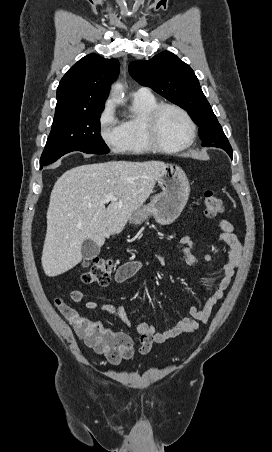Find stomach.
Masks as SVG:
<instances>
[{
  "instance_id": "stomach-1",
  "label": "stomach",
  "mask_w": 272,
  "mask_h": 452,
  "mask_svg": "<svg viewBox=\"0 0 272 452\" xmlns=\"http://www.w3.org/2000/svg\"><path fill=\"white\" fill-rule=\"evenodd\" d=\"M156 182L162 192L131 214V224H141L152 215L158 224L169 225L181 214L190 194L189 181L183 169L177 165L164 164Z\"/></svg>"
}]
</instances>
